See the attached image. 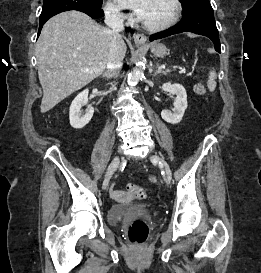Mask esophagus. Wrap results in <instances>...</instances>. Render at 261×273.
Wrapping results in <instances>:
<instances>
[{
    "mask_svg": "<svg viewBox=\"0 0 261 273\" xmlns=\"http://www.w3.org/2000/svg\"><path fill=\"white\" fill-rule=\"evenodd\" d=\"M133 38H134L135 44L137 45H143L147 41L146 36L143 34H134Z\"/></svg>",
    "mask_w": 261,
    "mask_h": 273,
    "instance_id": "34e87169",
    "label": "esophagus"
}]
</instances>
